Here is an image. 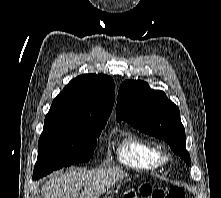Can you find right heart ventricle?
Wrapping results in <instances>:
<instances>
[{
	"label": "right heart ventricle",
	"mask_w": 221,
	"mask_h": 198,
	"mask_svg": "<svg viewBox=\"0 0 221 198\" xmlns=\"http://www.w3.org/2000/svg\"><path fill=\"white\" fill-rule=\"evenodd\" d=\"M117 160L135 170H156L161 166L157 145L133 132L124 133L115 145Z\"/></svg>",
	"instance_id": "1"
}]
</instances>
